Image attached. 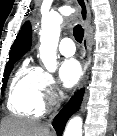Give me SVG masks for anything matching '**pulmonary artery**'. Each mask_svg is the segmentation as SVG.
Instances as JSON below:
<instances>
[{
	"label": "pulmonary artery",
	"instance_id": "1",
	"mask_svg": "<svg viewBox=\"0 0 117 136\" xmlns=\"http://www.w3.org/2000/svg\"><path fill=\"white\" fill-rule=\"evenodd\" d=\"M59 51L64 56H72L75 54V43L71 38L65 37L61 40Z\"/></svg>",
	"mask_w": 117,
	"mask_h": 136
}]
</instances>
